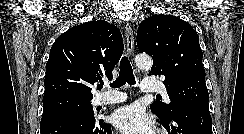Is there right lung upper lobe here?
<instances>
[{
  "mask_svg": "<svg viewBox=\"0 0 244 134\" xmlns=\"http://www.w3.org/2000/svg\"><path fill=\"white\" fill-rule=\"evenodd\" d=\"M123 53L120 30L104 20L74 26L52 45L43 100L69 96L92 99L90 85L112 70Z\"/></svg>",
  "mask_w": 244,
  "mask_h": 134,
  "instance_id": "right-lung-upper-lobe-1",
  "label": "right lung upper lobe"
}]
</instances>
